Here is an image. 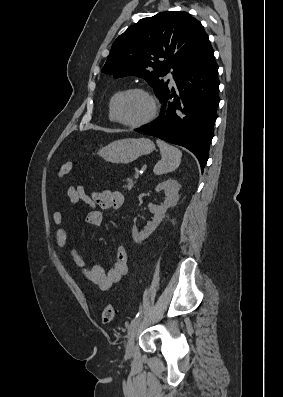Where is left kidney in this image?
<instances>
[{
	"instance_id": "obj_1",
	"label": "left kidney",
	"mask_w": 283,
	"mask_h": 397,
	"mask_svg": "<svg viewBox=\"0 0 283 397\" xmlns=\"http://www.w3.org/2000/svg\"><path fill=\"white\" fill-rule=\"evenodd\" d=\"M180 185L177 180L169 179L157 185L155 188L156 192L164 191L165 200L164 204L161 206L154 205L150 203L148 205L151 213L153 214L152 221H149L144 227V230L138 232V230L133 227L132 237L135 243H140L146 238H148L158 227L162 219L165 217V213L168 208L174 206L178 200V192Z\"/></svg>"
}]
</instances>
